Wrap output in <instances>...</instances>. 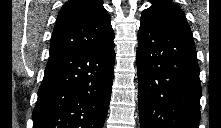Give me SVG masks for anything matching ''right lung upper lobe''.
Listing matches in <instances>:
<instances>
[{
    "label": "right lung upper lobe",
    "instance_id": "cb5924a9",
    "mask_svg": "<svg viewBox=\"0 0 221 128\" xmlns=\"http://www.w3.org/2000/svg\"><path fill=\"white\" fill-rule=\"evenodd\" d=\"M114 39L102 0H68L56 19L50 55L105 47Z\"/></svg>",
    "mask_w": 221,
    "mask_h": 128
}]
</instances>
